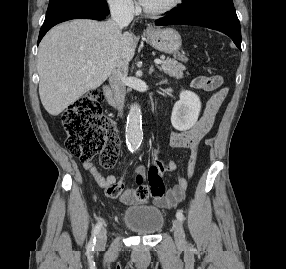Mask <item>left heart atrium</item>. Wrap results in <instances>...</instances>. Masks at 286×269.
I'll return each mask as SVG.
<instances>
[{"label":"left heart atrium","mask_w":286,"mask_h":269,"mask_svg":"<svg viewBox=\"0 0 286 269\" xmlns=\"http://www.w3.org/2000/svg\"><path fill=\"white\" fill-rule=\"evenodd\" d=\"M144 0H140V2L142 3Z\"/></svg>","instance_id":"obj_1"}]
</instances>
